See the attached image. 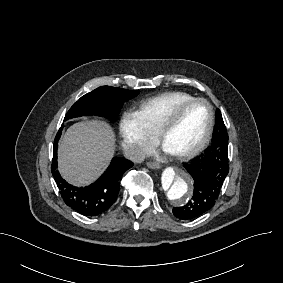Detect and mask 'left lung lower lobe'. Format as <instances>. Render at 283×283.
<instances>
[{
    "instance_id": "1",
    "label": "left lung lower lobe",
    "mask_w": 283,
    "mask_h": 283,
    "mask_svg": "<svg viewBox=\"0 0 283 283\" xmlns=\"http://www.w3.org/2000/svg\"><path fill=\"white\" fill-rule=\"evenodd\" d=\"M212 144L205 153L184 164L193 179L194 192L189 202L173 209L179 219L191 220L209 211L216 203L229 172L228 134L222 116H216Z\"/></svg>"
}]
</instances>
